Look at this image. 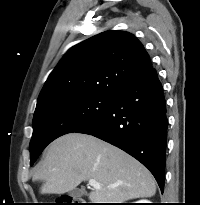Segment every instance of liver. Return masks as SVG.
I'll return each instance as SVG.
<instances>
[{"mask_svg": "<svg viewBox=\"0 0 200 205\" xmlns=\"http://www.w3.org/2000/svg\"><path fill=\"white\" fill-rule=\"evenodd\" d=\"M96 180L101 189L89 193L92 203H123L152 197L156 184L139 161L94 136L69 133L46 149L33 181H42L41 194H64L81 182Z\"/></svg>", "mask_w": 200, "mask_h": 205, "instance_id": "obj_1", "label": "liver"}]
</instances>
